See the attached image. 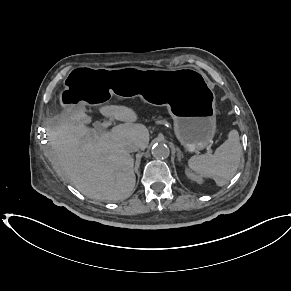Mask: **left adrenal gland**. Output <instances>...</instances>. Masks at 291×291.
Returning <instances> with one entry per match:
<instances>
[{
    "label": "left adrenal gland",
    "instance_id": "1",
    "mask_svg": "<svg viewBox=\"0 0 291 291\" xmlns=\"http://www.w3.org/2000/svg\"><path fill=\"white\" fill-rule=\"evenodd\" d=\"M177 157H178V161H181V158H183V155L180 150H178Z\"/></svg>",
    "mask_w": 291,
    "mask_h": 291
}]
</instances>
